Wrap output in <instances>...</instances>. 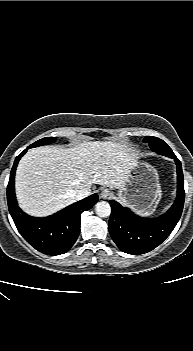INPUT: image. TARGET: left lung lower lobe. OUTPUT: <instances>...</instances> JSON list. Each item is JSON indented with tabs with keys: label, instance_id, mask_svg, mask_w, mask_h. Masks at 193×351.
<instances>
[{
	"label": "left lung lower lobe",
	"instance_id": "1",
	"mask_svg": "<svg viewBox=\"0 0 193 351\" xmlns=\"http://www.w3.org/2000/svg\"><path fill=\"white\" fill-rule=\"evenodd\" d=\"M177 165V197L172 207L162 216L155 219L139 217L118 202L110 200L111 216L109 232L125 253L140 255L160 245L173 231L179 221L184 205V179L181 162L175 155L169 156Z\"/></svg>",
	"mask_w": 193,
	"mask_h": 351
}]
</instances>
